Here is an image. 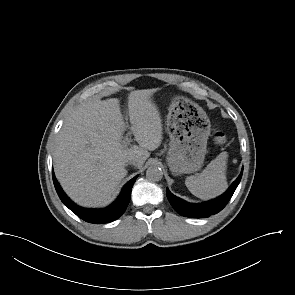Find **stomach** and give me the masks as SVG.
<instances>
[{
  "label": "stomach",
  "mask_w": 295,
  "mask_h": 295,
  "mask_svg": "<svg viewBox=\"0 0 295 295\" xmlns=\"http://www.w3.org/2000/svg\"><path fill=\"white\" fill-rule=\"evenodd\" d=\"M168 111L169 169L175 175L196 172L207 152L210 120L202 107L184 97L173 98Z\"/></svg>",
  "instance_id": "0dacf381"
}]
</instances>
